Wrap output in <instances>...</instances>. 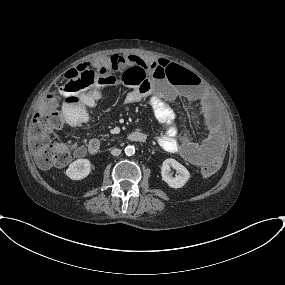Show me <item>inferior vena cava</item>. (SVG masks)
<instances>
[{"label":"inferior vena cava","mask_w":285,"mask_h":285,"mask_svg":"<svg viewBox=\"0 0 285 285\" xmlns=\"http://www.w3.org/2000/svg\"><path fill=\"white\" fill-rule=\"evenodd\" d=\"M111 154H112L113 156H118V155L121 154V150L118 149V148H114V149L111 150Z\"/></svg>","instance_id":"inferior-vena-cava-1"}]
</instances>
